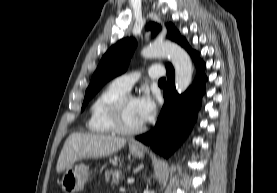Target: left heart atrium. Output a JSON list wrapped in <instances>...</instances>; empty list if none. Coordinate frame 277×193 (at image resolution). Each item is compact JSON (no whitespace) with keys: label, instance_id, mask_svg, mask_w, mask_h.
I'll use <instances>...</instances> for the list:
<instances>
[{"label":"left heart atrium","instance_id":"1","mask_svg":"<svg viewBox=\"0 0 277 193\" xmlns=\"http://www.w3.org/2000/svg\"><path fill=\"white\" fill-rule=\"evenodd\" d=\"M135 106L138 116L143 123L154 117L156 103L147 91L143 92L135 99Z\"/></svg>","mask_w":277,"mask_h":193}]
</instances>
